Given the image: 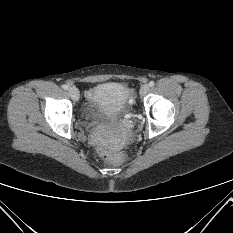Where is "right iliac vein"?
<instances>
[{
  "label": "right iliac vein",
  "mask_w": 233,
  "mask_h": 233,
  "mask_svg": "<svg viewBox=\"0 0 233 233\" xmlns=\"http://www.w3.org/2000/svg\"><path fill=\"white\" fill-rule=\"evenodd\" d=\"M68 92H69V94H70V96H71V98L73 100H78L79 99V91H78L77 88L70 87L69 90H68Z\"/></svg>",
  "instance_id": "obj_1"
}]
</instances>
